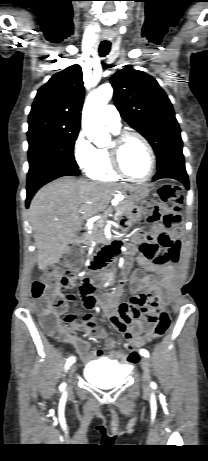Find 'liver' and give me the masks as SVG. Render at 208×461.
Returning <instances> with one entry per match:
<instances>
[{
    "label": "liver",
    "mask_w": 208,
    "mask_h": 461,
    "mask_svg": "<svg viewBox=\"0 0 208 461\" xmlns=\"http://www.w3.org/2000/svg\"><path fill=\"white\" fill-rule=\"evenodd\" d=\"M117 184L62 177L42 187L34 196L29 218L40 270L58 263L81 229V217L103 212L117 191Z\"/></svg>",
    "instance_id": "1"
}]
</instances>
